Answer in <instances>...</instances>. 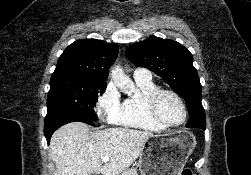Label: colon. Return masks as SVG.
Listing matches in <instances>:
<instances>
[{
	"label": "colon",
	"mask_w": 251,
	"mask_h": 175,
	"mask_svg": "<svg viewBox=\"0 0 251 175\" xmlns=\"http://www.w3.org/2000/svg\"><path fill=\"white\" fill-rule=\"evenodd\" d=\"M181 175H195L191 168H184L181 172Z\"/></svg>",
	"instance_id": "5ec220e1"
}]
</instances>
